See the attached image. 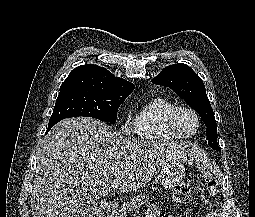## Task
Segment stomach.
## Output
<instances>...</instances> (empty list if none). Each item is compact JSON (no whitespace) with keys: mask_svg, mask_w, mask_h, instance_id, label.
Here are the masks:
<instances>
[{"mask_svg":"<svg viewBox=\"0 0 255 217\" xmlns=\"http://www.w3.org/2000/svg\"><path fill=\"white\" fill-rule=\"evenodd\" d=\"M184 176L185 168L182 159H172L166 162L158 174L161 185L169 189L179 184Z\"/></svg>","mask_w":255,"mask_h":217,"instance_id":"1","label":"stomach"}]
</instances>
